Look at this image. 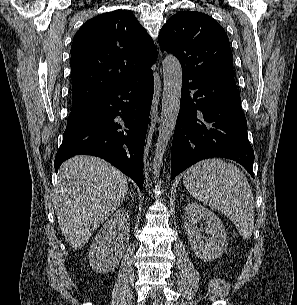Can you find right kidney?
<instances>
[{"label": "right kidney", "mask_w": 297, "mask_h": 305, "mask_svg": "<svg viewBox=\"0 0 297 305\" xmlns=\"http://www.w3.org/2000/svg\"><path fill=\"white\" fill-rule=\"evenodd\" d=\"M129 233V214L121 208L105 222L91 246L88 258L94 271L106 273L119 264L129 242Z\"/></svg>", "instance_id": "1"}]
</instances>
